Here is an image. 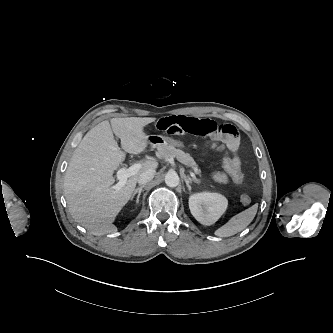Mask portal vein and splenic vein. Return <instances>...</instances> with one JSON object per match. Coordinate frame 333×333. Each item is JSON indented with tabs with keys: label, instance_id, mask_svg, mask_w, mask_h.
Wrapping results in <instances>:
<instances>
[{
	"label": "portal vein and splenic vein",
	"instance_id": "obj_1",
	"mask_svg": "<svg viewBox=\"0 0 333 333\" xmlns=\"http://www.w3.org/2000/svg\"><path fill=\"white\" fill-rule=\"evenodd\" d=\"M140 169H141V164L140 163L133 164L129 168H121L117 172V179L119 180V182L115 185V189L119 190L123 186H125V184L127 182V179L129 177L135 175ZM191 176L193 178H196L194 173H192Z\"/></svg>",
	"mask_w": 333,
	"mask_h": 333
}]
</instances>
